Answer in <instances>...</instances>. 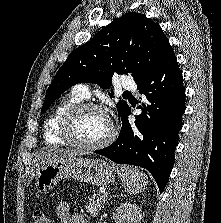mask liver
<instances>
[{"mask_svg": "<svg viewBox=\"0 0 221 223\" xmlns=\"http://www.w3.org/2000/svg\"><path fill=\"white\" fill-rule=\"evenodd\" d=\"M78 150L70 148H53L40 152L35 159L36 169L39 170L42 166L46 164L53 163L59 159L72 158L79 155Z\"/></svg>", "mask_w": 221, "mask_h": 223, "instance_id": "obj_1", "label": "liver"}]
</instances>
